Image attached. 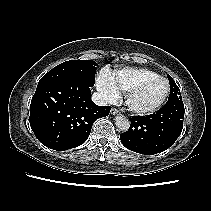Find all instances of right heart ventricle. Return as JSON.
<instances>
[{"mask_svg": "<svg viewBox=\"0 0 211 211\" xmlns=\"http://www.w3.org/2000/svg\"><path fill=\"white\" fill-rule=\"evenodd\" d=\"M110 75L118 90L127 93L141 81L158 74L150 69L127 67L115 70Z\"/></svg>", "mask_w": 211, "mask_h": 211, "instance_id": "right-heart-ventricle-1", "label": "right heart ventricle"}]
</instances>
